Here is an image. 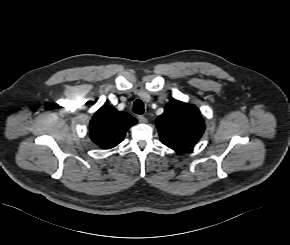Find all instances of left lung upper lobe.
Wrapping results in <instances>:
<instances>
[{"mask_svg": "<svg viewBox=\"0 0 290 245\" xmlns=\"http://www.w3.org/2000/svg\"><path fill=\"white\" fill-rule=\"evenodd\" d=\"M163 144L182 151L196 143L202 136L205 124L198 108L178 100L169 102L156 119Z\"/></svg>", "mask_w": 290, "mask_h": 245, "instance_id": "1", "label": "left lung upper lobe"}]
</instances>
